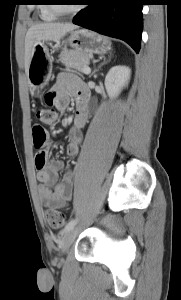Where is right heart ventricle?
<instances>
[{
	"label": "right heart ventricle",
	"instance_id": "e07e8e85",
	"mask_svg": "<svg viewBox=\"0 0 181 300\" xmlns=\"http://www.w3.org/2000/svg\"><path fill=\"white\" fill-rule=\"evenodd\" d=\"M42 3L38 8V15L41 20L45 22H52L57 19V15H55L49 8V4L46 3L47 1L41 0Z\"/></svg>",
	"mask_w": 181,
	"mask_h": 300
}]
</instances>
